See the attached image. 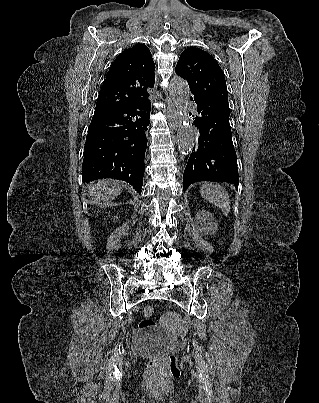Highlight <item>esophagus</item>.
<instances>
[{
    "label": "esophagus",
    "mask_w": 319,
    "mask_h": 403,
    "mask_svg": "<svg viewBox=\"0 0 319 403\" xmlns=\"http://www.w3.org/2000/svg\"><path fill=\"white\" fill-rule=\"evenodd\" d=\"M166 102L168 104V116H169V122L171 123L172 127L174 129H177L178 127V118H177V113L175 110V107L171 101L170 98L166 99Z\"/></svg>",
    "instance_id": "1"
}]
</instances>
